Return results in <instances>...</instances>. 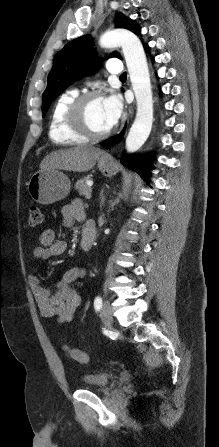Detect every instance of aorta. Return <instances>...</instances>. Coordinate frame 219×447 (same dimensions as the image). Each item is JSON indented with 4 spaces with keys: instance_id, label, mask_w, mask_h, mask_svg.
I'll use <instances>...</instances> for the list:
<instances>
[{
    "instance_id": "obj_1",
    "label": "aorta",
    "mask_w": 219,
    "mask_h": 447,
    "mask_svg": "<svg viewBox=\"0 0 219 447\" xmlns=\"http://www.w3.org/2000/svg\"><path fill=\"white\" fill-rule=\"evenodd\" d=\"M104 48L122 47L134 91L137 112L126 138L129 152L137 151L147 140L153 123V98L143 46L138 37L125 29L106 31L100 38Z\"/></svg>"
}]
</instances>
